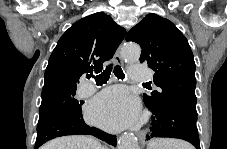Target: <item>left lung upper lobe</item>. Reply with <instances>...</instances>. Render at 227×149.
Here are the masks:
<instances>
[{"mask_svg":"<svg viewBox=\"0 0 227 149\" xmlns=\"http://www.w3.org/2000/svg\"><path fill=\"white\" fill-rule=\"evenodd\" d=\"M126 40L141 46L140 62L155 71L154 83L159 91L144 94V102L158 107L177 103L196 109L193 53L171 21L150 13L129 30Z\"/></svg>","mask_w":227,"mask_h":149,"instance_id":"left-lung-upper-lobe-1","label":"left lung upper lobe"}]
</instances>
